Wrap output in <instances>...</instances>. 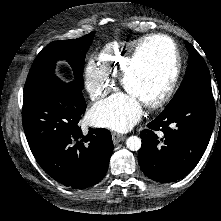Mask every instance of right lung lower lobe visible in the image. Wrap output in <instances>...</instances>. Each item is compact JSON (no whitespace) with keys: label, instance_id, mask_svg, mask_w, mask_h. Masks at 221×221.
Returning a JSON list of instances; mask_svg holds the SVG:
<instances>
[{"label":"right lung lower lobe","instance_id":"98d812e1","mask_svg":"<svg viewBox=\"0 0 221 221\" xmlns=\"http://www.w3.org/2000/svg\"><path fill=\"white\" fill-rule=\"evenodd\" d=\"M85 110L82 88L57 77L44 80L23 100V128L35 159L51 178L74 189L100 182L113 151L107 129L82 132Z\"/></svg>","mask_w":221,"mask_h":221}]
</instances>
